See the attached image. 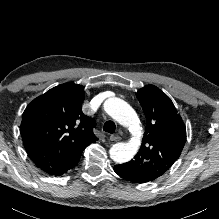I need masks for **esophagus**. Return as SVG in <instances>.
<instances>
[{
  "label": "esophagus",
  "instance_id": "obj_1",
  "mask_svg": "<svg viewBox=\"0 0 219 219\" xmlns=\"http://www.w3.org/2000/svg\"><path fill=\"white\" fill-rule=\"evenodd\" d=\"M109 140H110V141H113V142H117V141H120V140H121V137H120L119 135L115 134V135H111V136L109 137Z\"/></svg>",
  "mask_w": 219,
  "mask_h": 219
}]
</instances>
